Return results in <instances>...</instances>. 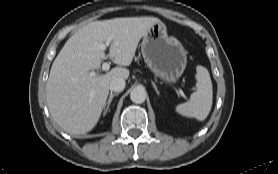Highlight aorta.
Here are the masks:
<instances>
[{
    "label": "aorta",
    "mask_w": 278,
    "mask_h": 174,
    "mask_svg": "<svg viewBox=\"0 0 278 174\" xmlns=\"http://www.w3.org/2000/svg\"><path fill=\"white\" fill-rule=\"evenodd\" d=\"M147 93L141 87L134 88L130 93V99L136 104H141L145 101Z\"/></svg>",
    "instance_id": "obj_1"
}]
</instances>
